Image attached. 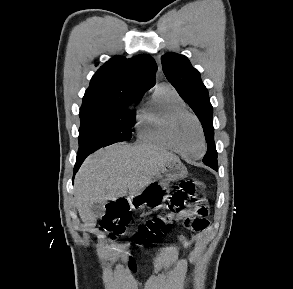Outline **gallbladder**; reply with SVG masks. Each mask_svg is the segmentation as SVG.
Wrapping results in <instances>:
<instances>
[{
    "label": "gallbladder",
    "mask_w": 293,
    "mask_h": 289,
    "mask_svg": "<svg viewBox=\"0 0 293 289\" xmlns=\"http://www.w3.org/2000/svg\"><path fill=\"white\" fill-rule=\"evenodd\" d=\"M91 211L96 217H101L105 214L104 206L101 203H94L91 207Z\"/></svg>",
    "instance_id": "1"
}]
</instances>
